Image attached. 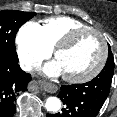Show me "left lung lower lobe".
<instances>
[{
	"label": "left lung lower lobe",
	"instance_id": "obj_1",
	"mask_svg": "<svg viewBox=\"0 0 117 117\" xmlns=\"http://www.w3.org/2000/svg\"><path fill=\"white\" fill-rule=\"evenodd\" d=\"M110 91V85L94 78L84 84L61 86L62 112L47 117H96Z\"/></svg>",
	"mask_w": 117,
	"mask_h": 117
}]
</instances>
